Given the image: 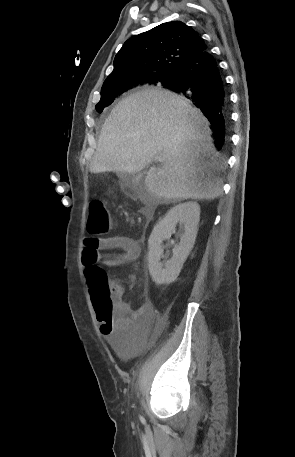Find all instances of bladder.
Listing matches in <instances>:
<instances>
[{
	"label": "bladder",
	"mask_w": 295,
	"mask_h": 457,
	"mask_svg": "<svg viewBox=\"0 0 295 457\" xmlns=\"http://www.w3.org/2000/svg\"><path fill=\"white\" fill-rule=\"evenodd\" d=\"M107 347H116V356L130 358L131 356H141L143 345L142 338H107Z\"/></svg>",
	"instance_id": "obj_1"
}]
</instances>
